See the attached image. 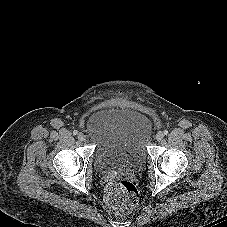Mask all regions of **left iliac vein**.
I'll use <instances>...</instances> for the list:
<instances>
[{
    "label": "left iliac vein",
    "instance_id": "4c4485c4",
    "mask_svg": "<svg viewBox=\"0 0 227 227\" xmlns=\"http://www.w3.org/2000/svg\"><path fill=\"white\" fill-rule=\"evenodd\" d=\"M157 141H161L164 138V133L159 131L155 136Z\"/></svg>",
    "mask_w": 227,
    "mask_h": 227
}]
</instances>
